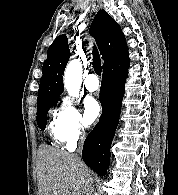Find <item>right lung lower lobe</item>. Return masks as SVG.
<instances>
[{"mask_svg": "<svg viewBox=\"0 0 178 195\" xmlns=\"http://www.w3.org/2000/svg\"><path fill=\"white\" fill-rule=\"evenodd\" d=\"M128 68L129 64L103 72L100 89L102 115L84 142L83 161L100 176L105 175L109 168L110 146L119 121Z\"/></svg>", "mask_w": 178, "mask_h": 195, "instance_id": "right-lung-lower-lobe-1", "label": "right lung lower lobe"}]
</instances>
